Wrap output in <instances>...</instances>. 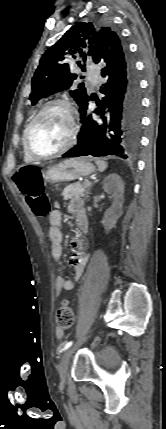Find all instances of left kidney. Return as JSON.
<instances>
[{
	"label": "left kidney",
	"instance_id": "5707ae66",
	"mask_svg": "<svg viewBox=\"0 0 166 429\" xmlns=\"http://www.w3.org/2000/svg\"><path fill=\"white\" fill-rule=\"evenodd\" d=\"M103 189L106 193L111 194L114 199L112 206L107 209L102 221L105 230L110 231L115 227L118 218L122 215L124 183L118 174L113 173L104 179Z\"/></svg>",
	"mask_w": 166,
	"mask_h": 429
}]
</instances>
